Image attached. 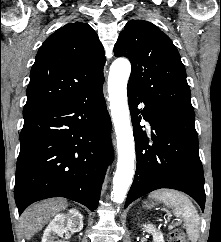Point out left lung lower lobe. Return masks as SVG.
<instances>
[{"instance_id":"0a47b994","label":"left lung lower lobe","mask_w":221,"mask_h":242,"mask_svg":"<svg viewBox=\"0 0 221 242\" xmlns=\"http://www.w3.org/2000/svg\"><path fill=\"white\" fill-rule=\"evenodd\" d=\"M127 93L137 167L125 208L153 190L171 188L190 195L204 211V176L194 120L157 109L130 88ZM140 102L145 105L141 112ZM139 113L152 126L149 137L140 126Z\"/></svg>"}]
</instances>
